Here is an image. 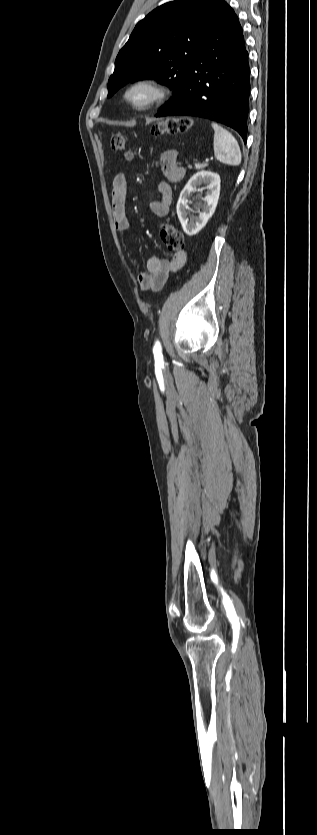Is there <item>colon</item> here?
<instances>
[{
	"label": "colon",
	"mask_w": 317,
	"mask_h": 835,
	"mask_svg": "<svg viewBox=\"0 0 317 835\" xmlns=\"http://www.w3.org/2000/svg\"><path fill=\"white\" fill-rule=\"evenodd\" d=\"M191 126L192 121L189 118H169L155 125L152 132L158 136L174 135L187 132ZM110 144L113 150L121 152L126 159L131 158V151L128 149L126 138L122 134H113ZM160 237L166 248L171 252H179L184 247L183 235L173 224L162 223L160 225Z\"/></svg>",
	"instance_id": "obj_1"
}]
</instances>
